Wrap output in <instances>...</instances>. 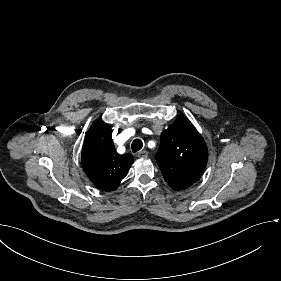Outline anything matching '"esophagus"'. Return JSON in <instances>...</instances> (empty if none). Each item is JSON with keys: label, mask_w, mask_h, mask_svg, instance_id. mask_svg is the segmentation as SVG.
Segmentation results:
<instances>
[{"label": "esophagus", "mask_w": 281, "mask_h": 281, "mask_svg": "<svg viewBox=\"0 0 281 281\" xmlns=\"http://www.w3.org/2000/svg\"><path fill=\"white\" fill-rule=\"evenodd\" d=\"M137 157L138 158H146L148 157V152L147 151H140L138 154H137Z\"/></svg>", "instance_id": "34e87169"}]
</instances>
